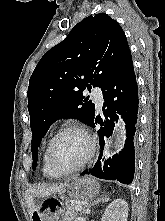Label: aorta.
Listing matches in <instances>:
<instances>
[{
  "label": "aorta",
  "instance_id": "obj_1",
  "mask_svg": "<svg viewBox=\"0 0 165 221\" xmlns=\"http://www.w3.org/2000/svg\"><path fill=\"white\" fill-rule=\"evenodd\" d=\"M120 124H121V130L117 134V137L114 143V149L116 152H118L123 147L125 138H126V132L124 129L123 122L121 121Z\"/></svg>",
  "mask_w": 165,
  "mask_h": 221
}]
</instances>
